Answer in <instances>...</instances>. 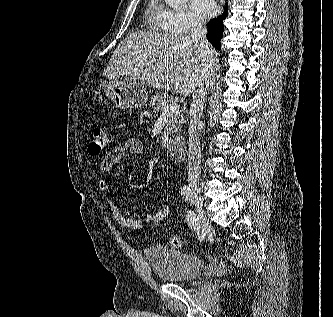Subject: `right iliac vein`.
Listing matches in <instances>:
<instances>
[{
	"mask_svg": "<svg viewBox=\"0 0 333 317\" xmlns=\"http://www.w3.org/2000/svg\"><path fill=\"white\" fill-rule=\"evenodd\" d=\"M190 198L195 204L197 213H198V222L202 232L206 235L211 230V225L205 215L203 204L199 192L192 191L190 194Z\"/></svg>",
	"mask_w": 333,
	"mask_h": 317,
	"instance_id": "right-iliac-vein-1",
	"label": "right iliac vein"
}]
</instances>
